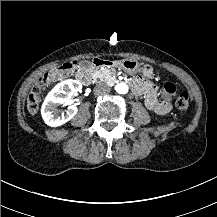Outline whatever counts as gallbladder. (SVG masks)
Here are the masks:
<instances>
[{"mask_svg": "<svg viewBox=\"0 0 217 217\" xmlns=\"http://www.w3.org/2000/svg\"><path fill=\"white\" fill-rule=\"evenodd\" d=\"M79 66L81 68H90L92 66V63L90 61L84 60V61H80Z\"/></svg>", "mask_w": 217, "mask_h": 217, "instance_id": "obj_1", "label": "gallbladder"}]
</instances>
